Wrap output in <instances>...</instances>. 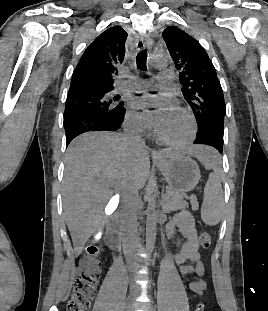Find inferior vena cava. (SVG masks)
I'll return each mask as SVG.
<instances>
[{
    "label": "inferior vena cava",
    "mask_w": 268,
    "mask_h": 311,
    "mask_svg": "<svg viewBox=\"0 0 268 311\" xmlns=\"http://www.w3.org/2000/svg\"><path fill=\"white\" fill-rule=\"evenodd\" d=\"M129 140L135 142L132 136L125 135ZM140 147L144 145L139 143ZM138 201V192L128 190L123 194V203L120 211V222L123 235V243L125 248V258L129 266L137 267L138 258L132 251L139 244L138 228H137V213L136 206Z\"/></svg>",
    "instance_id": "1"
}]
</instances>
